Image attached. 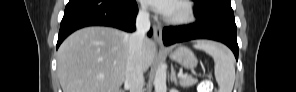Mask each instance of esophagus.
<instances>
[{
	"instance_id": "1",
	"label": "esophagus",
	"mask_w": 296,
	"mask_h": 92,
	"mask_svg": "<svg viewBox=\"0 0 296 92\" xmlns=\"http://www.w3.org/2000/svg\"><path fill=\"white\" fill-rule=\"evenodd\" d=\"M153 31H154V40L158 44H162V27L158 24L153 25Z\"/></svg>"
}]
</instances>
